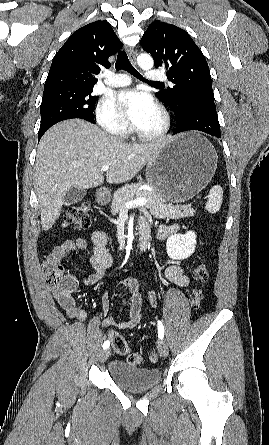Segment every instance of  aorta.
I'll return each instance as SVG.
<instances>
[{"mask_svg":"<svg viewBox=\"0 0 269 445\" xmlns=\"http://www.w3.org/2000/svg\"><path fill=\"white\" fill-rule=\"evenodd\" d=\"M137 62H138V65L143 70H150L153 67V65H154L152 57L150 55H148V54H141V55H139L138 58H137Z\"/></svg>","mask_w":269,"mask_h":445,"instance_id":"aorta-1","label":"aorta"}]
</instances>
